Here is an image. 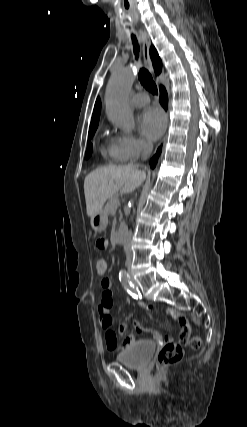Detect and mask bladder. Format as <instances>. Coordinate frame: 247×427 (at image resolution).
Returning a JSON list of instances; mask_svg holds the SVG:
<instances>
[{
    "label": "bladder",
    "instance_id": "bladder-1",
    "mask_svg": "<svg viewBox=\"0 0 247 427\" xmlns=\"http://www.w3.org/2000/svg\"><path fill=\"white\" fill-rule=\"evenodd\" d=\"M156 350V345L152 341L140 340L132 343L120 351L116 359L124 366L132 369L145 367L151 360Z\"/></svg>",
    "mask_w": 247,
    "mask_h": 427
}]
</instances>
